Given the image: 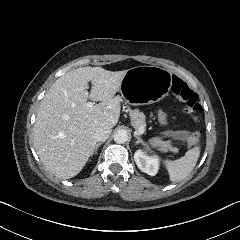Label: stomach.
I'll return each instance as SVG.
<instances>
[{"mask_svg": "<svg viewBox=\"0 0 240 240\" xmlns=\"http://www.w3.org/2000/svg\"><path fill=\"white\" fill-rule=\"evenodd\" d=\"M171 73L158 66H137L127 70L119 87L130 104L144 105L162 100L171 89Z\"/></svg>", "mask_w": 240, "mask_h": 240, "instance_id": "1", "label": "stomach"}]
</instances>
